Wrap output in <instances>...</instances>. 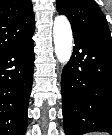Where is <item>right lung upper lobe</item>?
I'll use <instances>...</instances> for the list:
<instances>
[{"mask_svg":"<svg viewBox=\"0 0 112 135\" xmlns=\"http://www.w3.org/2000/svg\"><path fill=\"white\" fill-rule=\"evenodd\" d=\"M32 8L30 0H0V54L33 34Z\"/></svg>","mask_w":112,"mask_h":135,"instance_id":"right-lung-upper-lobe-1","label":"right lung upper lobe"}]
</instances>
